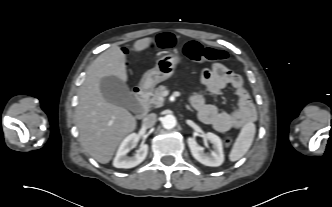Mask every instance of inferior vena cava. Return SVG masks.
Instances as JSON below:
<instances>
[{"label": "inferior vena cava", "mask_w": 332, "mask_h": 207, "mask_svg": "<svg viewBox=\"0 0 332 207\" xmlns=\"http://www.w3.org/2000/svg\"><path fill=\"white\" fill-rule=\"evenodd\" d=\"M156 118H157V116L154 113H151V114L147 115L143 119V122H142L143 126L147 127V128L152 127L155 124V122H156Z\"/></svg>", "instance_id": "inferior-vena-cava-1"}]
</instances>
